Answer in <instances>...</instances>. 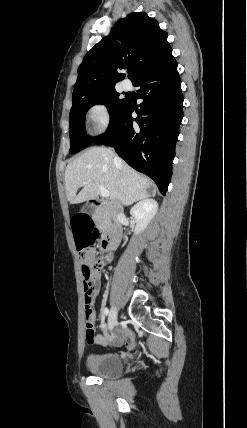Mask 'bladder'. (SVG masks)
Listing matches in <instances>:
<instances>
[{
    "label": "bladder",
    "mask_w": 247,
    "mask_h": 428,
    "mask_svg": "<svg viewBox=\"0 0 247 428\" xmlns=\"http://www.w3.org/2000/svg\"><path fill=\"white\" fill-rule=\"evenodd\" d=\"M87 370L98 377L114 378L121 375L123 363L120 356L113 352L91 354L86 362Z\"/></svg>",
    "instance_id": "1"
}]
</instances>
